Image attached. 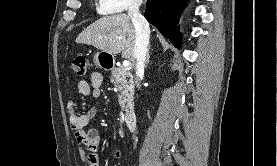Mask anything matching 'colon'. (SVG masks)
Masks as SVG:
<instances>
[{
	"label": "colon",
	"mask_w": 277,
	"mask_h": 166,
	"mask_svg": "<svg viewBox=\"0 0 277 166\" xmlns=\"http://www.w3.org/2000/svg\"><path fill=\"white\" fill-rule=\"evenodd\" d=\"M72 70L78 75L83 76L87 71V60L83 56L75 57L71 62Z\"/></svg>",
	"instance_id": "colon-1"
}]
</instances>
